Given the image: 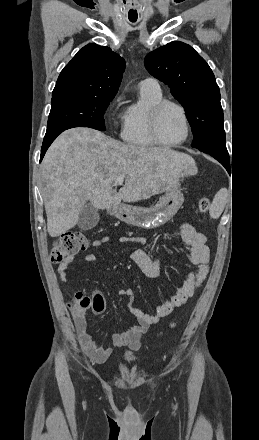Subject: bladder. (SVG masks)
Returning <instances> with one entry per match:
<instances>
[{
    "mask_svg": "<svg viewBox=\"0 0 259 440\" xmlns=\"http://www.w3.org/2000/svg\"><path fill=\"white\" fill-rule=\"evenodd\" d=\"M124 361H133L135 359L134 355L131 353H126L123 357Z\"/></svg>",
    "mask_w": 259,
    "mask_h": 440,
    "instance_id": "bladder-1",
    "label": "bladder"
}]
</instances>
